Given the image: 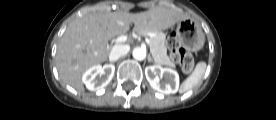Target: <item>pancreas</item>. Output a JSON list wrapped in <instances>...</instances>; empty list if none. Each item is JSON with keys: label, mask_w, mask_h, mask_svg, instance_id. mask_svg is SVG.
<instances>
[{"label": "pancreas", "mask_w": 276, "mask_h": 120, "mask_svg": "<svg viewBox=\"0 0 276 120\" xmlns=\"http://www.w3.org/2000/svg\"><path fill=\"white\" fill-rule=\"evenodd\" d=\"M149 41L150 51L155 59V62L160 65H166L171 68H175V64L167 55L164 35L160 32H156V36L149 37Z\"/></svg>", "instance_id": "1"}]
</instances>
